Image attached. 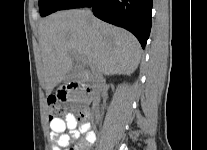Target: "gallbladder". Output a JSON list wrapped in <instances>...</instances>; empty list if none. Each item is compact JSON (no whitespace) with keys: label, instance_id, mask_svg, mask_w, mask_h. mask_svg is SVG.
Returning a JSON list of instances; mask_svg holds the SVG:
<instances>
[{"label":"gallbladder","instance_id":"obj_1","mask_svg":"<svg viewBox=\"0 0 207 150\" xmlns=\"http://www.w3.org/2000/svg\"><path fill=\"white\" fill-rule=\"evenodd\" d=\"M74 76H75V73H74L73 71H70V72L65 76L64 81H65V82H66V81H69V80H71L72 78H74Z\"/></svg>","mask_w":207,"mask_h":150}]
</instances>
